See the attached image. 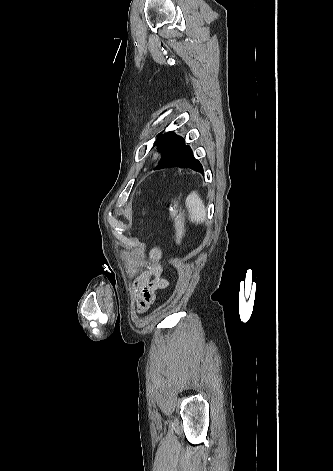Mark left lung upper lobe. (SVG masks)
<instances>
[{
    "mask_svg": "<svg viewBox=\"0 0 333 471\" xmlns=\"http://www.w3.org/2000/svg\"><path fill=\"white\" fill-rule=\"evenodd\" d=\"M154 145L162 153L161 161L154 170L170 167L168 165L170 159L186 146L184 139L174 134L173 131L158 135Z\"/></svg>",
    "mask_w": 333,
    "mask_h": 471,
    "instance_id": "1",
    "label": "left lung upper lobe"
}]
</instances>
